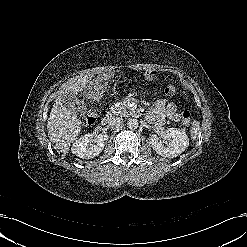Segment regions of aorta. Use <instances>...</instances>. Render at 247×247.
Masks as SVG:
<instances>
[{
  "label": "aorta",
  "mask_w": 247,
  "mask_h": 247,
  "mask_svg": "<svg viewBox=\"0 0 247 247\" xmlns=\"http://www.w3.org/2000/svg\"><path fill=\"white\" fill-rule=\"evenodd\" d=\"M139 126V122L137 119L135 118H131L127 121V127L131 130H135L137 129Z\"/></svg>",
  "instance_id": "762f6f07"
}]
</instances>
